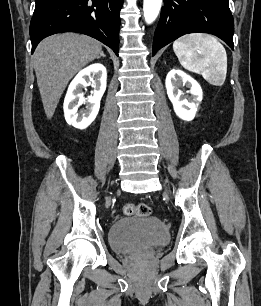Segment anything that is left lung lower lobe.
<instances>
[{
	"mask_svg": "<svg viewBox=\"0 0 261 306\" xmlns=\"http://www.w3.org/2000/svg\"><path fill=\"white\" fill-rule=\"evenodd\" d=\"M196 32L216 35L234 50V20L228 0H164L153 55L178 37Z\"/></svg>",
	"mask_w": 261,
	"mask_h": 306,
	"instance_id": "0a47b994",
	"label": "left lung lower lobe"
}]
</instances>
